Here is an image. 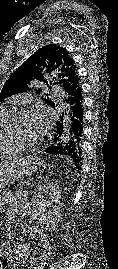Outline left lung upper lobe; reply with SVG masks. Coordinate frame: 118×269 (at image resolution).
I'll return each instance as SVG.
<instances>
[{
  "mask_svg": "<svg viewBox=\"0 0 118 269\" xmlns=\"http://www.w3.org/2000/svg\"><path fill=\"white\" fill-rule=\"evenodd\" d=\"M46 77L54 82L48 84ZM38 82H45L50 89V85L62 84L66 93L80 86L75 62L65 48L48 44L38 49L6 81L0 93V102L10 95L31 90ZM36 92H41V89ZM43 100L51 107L55 106L49 97Z\"/></svg>",
  "mask_w": 118,
  "mask_h": 269,
  "instance_id": "1",
  "label": "left lung upper lobe"
}]
</instances>
